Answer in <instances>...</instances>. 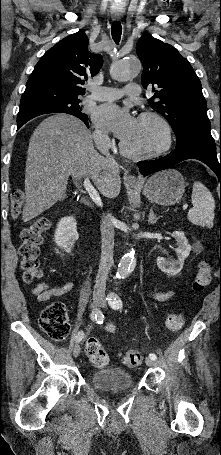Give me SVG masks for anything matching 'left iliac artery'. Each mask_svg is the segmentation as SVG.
Wrapping results in <instances>:
<instances>
[{"label":"left iliac artery","instance_id":"obj_1","mask_svg":"<svg viewBox=\"0 0 221 455\" xmlns=\"http://www.w3.org/2000/svg\"><path fill=\"white\" fill-rule=\"evenodd\" d=\"M107 300H108V303L111 306V308H113L115 310L122 308V305H123L122 300L116 293H114V292L109 293ZM149 357L153 360L157 359V356L153 353L149 354Z\"/></svg>","mask_w":221,"mask_h":455}]
</instances>
